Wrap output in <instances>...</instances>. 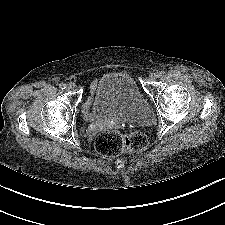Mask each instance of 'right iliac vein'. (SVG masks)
I'll list each match as a JSON object with an SVG mask.
<instances>
[{"label":"right iliac vein","mask_w":225,"mask_h":225,"mask_svg":"<svg viewBox=\"0 0 225 225\" xmlns=\"http://www.w3.org/2000/svg\"><path fill=\"white\" fill-rule=\"evenodd\" d=\"M74 88H75V85H74L73 83H70V84H68V85L66 86V89H67L68 91H72V90H74Z\"/></svg>","instance_id":"63e3f726"}]
</instances>
